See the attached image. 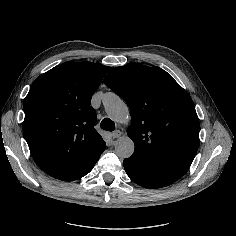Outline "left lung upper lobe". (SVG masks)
<instances>
[{"mask_svg": "<svg viewBox=\"0 0 236 236\" xmlns=\"http://www.w3.org/2000/svg\"><path fill=\"white\" fill-rule=\"evenodd\" d=\"M104 83L130 108L132 156L178 180L199 147V119L190 95L157 66L116 67Z\"/></svg>", "mask_w": 236, "mask_h": 236, "instance_id": "1", "label": "left lung upper lobe"}]
</instances>
